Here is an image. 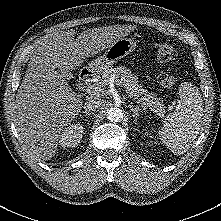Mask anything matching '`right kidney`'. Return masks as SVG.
Wrapping results in <instances>:
<instances>
[{
  "mask_svg": "<svg viewBox=\"0 0 221 221\" xmlns=\"http://www.w3.org/2000/svg\"><path fill=\"white\" fill-rule=\"evenodd\" d=\"M83 126L80 123H76L74 125H70L60 135L59 143L61 147L68 148V147H75L77 146L82 137H83Z\"/></svg>",
  "mask_w": 221,
  "mask_h": 221,
  "instance_id": "1",
  "label": "right kidney"
}]
</instances>
